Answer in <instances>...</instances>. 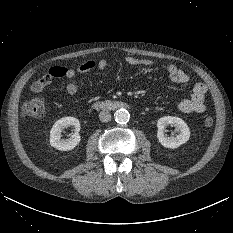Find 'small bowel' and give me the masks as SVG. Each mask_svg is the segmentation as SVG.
<instances>
[{
  "mask_svg": "<svg viewBox=\"0 0 233 233\" xmlns=\"http://www.w3.org/2000/svg\"><path fill=\"white\" fill-rule=\"evenodd\" d=\"M126 62L132 66H143L151 67L154 62L147 58H138L135 56H127ZM108 61L105 58L95 60H87L83 62L77 69L67 68L62 66H54L49 69V71L43 75L40 79L35 81L31 87L33 92H42L47 88L54 79L57 78H67L72 79L77 73L85 74L91 70L97 68L99 70H105L107 68ZM167 74L171 82L174 84H186L189 82L190 78L188 74L178 68L177 66L171 64L167 66ZM66 90L69 94L74 95L79 90V85L76 81H70ZM207 92V87L203 83H196L193 86L192 93L190 97L182 99L178 102L177 108L180 112L185 114L191 113H203L206 110L205 104V94Z\"/></svg>",
  "mask_w": 233,
  "mask_h": 233,
  "instance_id": "small-bowel-1",
  "label": "small bowel"
}]
</instances>
